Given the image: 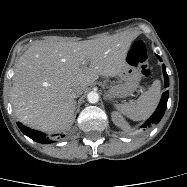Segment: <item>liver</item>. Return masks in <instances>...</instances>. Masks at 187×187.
I'll use <instances>...</instances> for the list:
<instances>
[{"label":"liver","instance_id":"obj_1","mask_svg":"<svg viewBox=\"0 0 187 187\" xmlns=\"http://www.w3.org/2000/svg\"><path fill=\"white\" fill-rule=\"evenodd\" d=\"M134 36L130 33L69 42H35L19 58L11 89L13 109L21 122L45 132L68 128L75 101L99 76L115 77L127 66Z\"/></svg>","mask_w":187,"mask_h":187}]
</instances>
